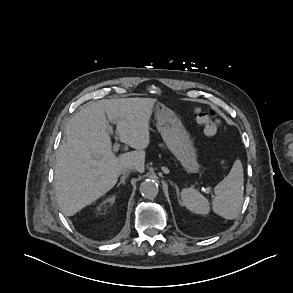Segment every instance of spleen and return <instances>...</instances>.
Here are the masks:
<instances>
[{
	"mask_svg": "<svg viewBox=\"0 0 293 293\" xmlns=\"http://www.w3.org/2000/svg\"><path fill=\"white\" fill-rule=\"evenodd\" d=\"M214 192L213 211L225 219H235L241 210L244 195V173L239 159L234 162L229 174L215 186ZM181 200L193 213L207 214L210 211L208 200L193 188L183 189Z\"/></svg>",
	"mask_w": 293,
	"mask_h": 293,
	"instance_id": "1",
	"label": "spleen"
}]
</instances>
